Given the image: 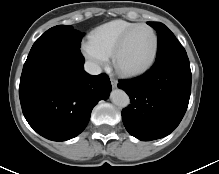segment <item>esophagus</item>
<instances>
[{
	"mask_svg": "<svg viewBox=\"0 0 219 174\" xmlns=\"http://www.w3.org/2000/svg\"><path fill=\"white\" fill-rule=\"evenodd\" d=\"M110 80H111L112 87L116 88L118 81L116 79H114V78H110Z\"/></svg>",
	"mask_w": 219,
	"mask_h": 174,
	"instance_id": "34e87169",
	"label": "esophagus"
}]
</instances>
